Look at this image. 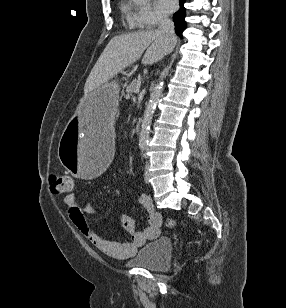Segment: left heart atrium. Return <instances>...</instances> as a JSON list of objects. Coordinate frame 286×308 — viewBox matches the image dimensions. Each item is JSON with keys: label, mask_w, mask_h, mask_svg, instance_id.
I'll use <instances>...</instances> for the list:
<instances>
[{"label": "left heart atrium", "mask_w": 286, "mask_h": 308, "mask_svg": "<svg viewBox=\"0 0 286 308\" xmlns=\"http://www.w3.org/2000/svg\"><path fill=\"white\" fill-rule=\"evenodd\" d=\"M156 6L164 13H171L177 7L176 0H156Z\"/></svg>", "instance_id": "left-heart-atrium-1"}]
</instances>
